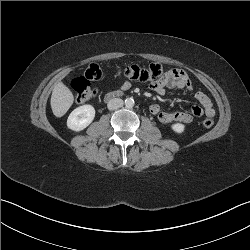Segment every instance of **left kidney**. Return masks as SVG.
I'll return each instance as SVG.
<instances>
[{
	"mask_svg": "<svg viewBox=\"0 0 250 250\" xmlns=\"http://www.w3.org/2000/svg\"><path fill=\"white\" fill-rule=\"evenodd\" d=\"M171 128L174 132L181 134L185 130V125L182 123H175L171 125Z\"/></svg>",
	"mask_w": 250,
	"mask_h": 250,
	"instance_id": "1",
	"label": "left kidney"
}]
</instances>
